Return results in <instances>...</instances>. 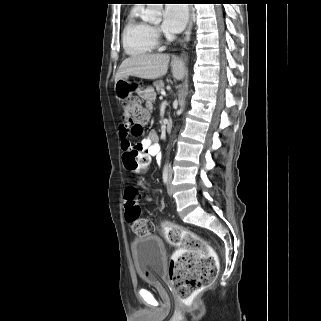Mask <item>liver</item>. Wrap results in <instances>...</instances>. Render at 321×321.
Masks as SVG:
<instances>
[{"mask_svg":"<svg viewBox=\"0 0 321 321\" xmlns=\"http://www.w3.org/2000/svg\"><path fill=\"white\" fill-rule=\"evenodd\" d=\"M170 56L168 54H142L125 59L120 65L115 81L128 76L154 80L167 73ZM172 75L174 79L181 80L185 75V65L181 59L172 56Z\"/></svg>","mask_w":321,"mask_h":321,"instance_id":"liver-1","label":"liver"}]
</instances>
